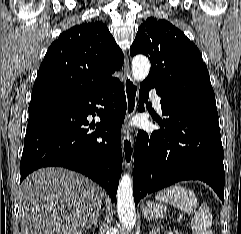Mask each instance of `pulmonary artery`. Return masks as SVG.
Returning a JSON list of instances; mask_svg holds the SVG:
<instances>
[{
  "label": "pulmonary artery",
  "mask_w": 241,
  "mask_h": 234,
  "mask_svg": "<svg viewBox=\"0 0 241 234\" xmlns=\"http://www.w3.org/2000/svg\"><path fill=\"white\" fill-rule=\"evenodd\" d=\"M151 100H152L154 108L157 111H161V98L154 91L151 92Z\"/></svg>",
  "instance_id": "e3ab8cb5"
}]
</instances>
